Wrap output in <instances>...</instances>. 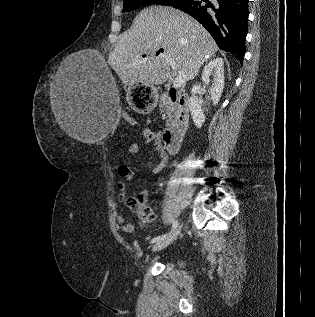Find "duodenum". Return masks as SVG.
<instances>
[{
  "mask_svg": "<svg viewBox=\"0 0 315 317\" xmlns=\"http://www.w3.org/2000/svg\"><path fill=\"white\" fill-rule=\"evenodd\" d=\"M166 103L173 111V119L169 127L163 132L162 139L165 149L170 154H174L179 151L188 129V102L186 96L173 86L168 92Z\"/></svg>",
  "mask_w": 315,
  "mask_h": 317,
  "instance_id": "410a0bca",
  "label": "duodenum"
}]
</instances>
